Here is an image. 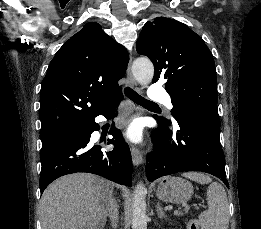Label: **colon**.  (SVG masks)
<instances>
[{"label": "colon", "instance_id": "1", "mask_svg": "<svg viewBox=\"0 0 261 229\" xmlns=\"http://www.w3.org/2000/svg\"><path fill=\"white\" fill-rule=\"evenodd\" d=\"M189 229H197V227L194 226V224H192V225L189 227Z\"/></svg>", "mask_w": 261, "mask_h": 229}]
</instances>
